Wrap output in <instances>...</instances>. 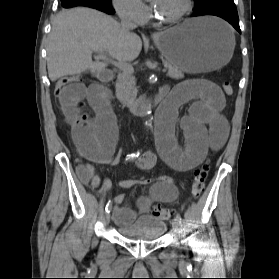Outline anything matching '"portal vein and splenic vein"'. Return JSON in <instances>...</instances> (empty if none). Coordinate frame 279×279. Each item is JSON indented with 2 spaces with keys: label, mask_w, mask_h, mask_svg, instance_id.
<instances>
[{
  "label": "portal vein and splenic vein",
  "mask_w": 279,
  "mask_h": 279,
  "mask_svg": "<svg viewBox=\"0 0 279 279\" xmlns=\"http://www.w3.org/2000/svg\"><path fill=\"white\" fill-rule=\"evenodd\" d=\"M98 53V57L99 59L101 60H104V61H108L110 63H112L114 66H116L117 68L121 69L122 71H125V72H130V73H133L134 70H133V67L128 65L127 63H124L123 61H115V60H112L110 59L105 53L104 51H96ZM166 67V66H165ZM165 71V69H164Z\"/></svg>",
  "instance_id": "18ae733b"
}]
</instances>
